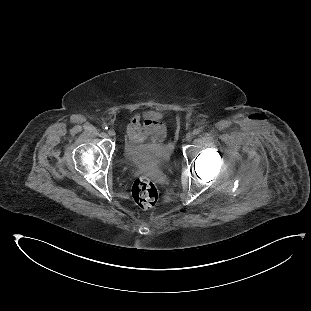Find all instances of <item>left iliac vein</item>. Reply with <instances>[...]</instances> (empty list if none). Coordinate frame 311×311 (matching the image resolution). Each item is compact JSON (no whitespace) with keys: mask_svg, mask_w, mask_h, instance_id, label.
<instances>
[{"mask_svg":"<svg viewBox=\"0 0 311 311\" xmlns=\"http://www.w3.org/2000/svg\"><path fill=\"white\" fill-rule=\"evenodd\" d=\"M193 138H194L193 133H190V132H189V133L186 134V140H187V141H191Z\"/></svg>","mask_w":311,"mask_h":311,"instance_id":"1","label":"left iliac vein"}]
</instances>
